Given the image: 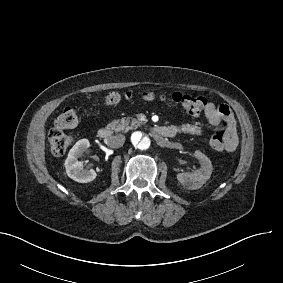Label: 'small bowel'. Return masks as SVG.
<instances>
[{
    "label": "small bowel",
    "instance_id": "1",
    "mask_svg": "<svg viewBox=\"0 0 283 283\" xmlns=\"http://www.w3.org/2000/svg\"><path fill=\"white\" fill-rule=\"evenodd\" d=\"M234 107L230 103L220 102L218 106L215 103H208L204 109V114L210 125L215 128H221V120L226 124H230L225 131V139L227 140L228 153H232L238 146V137L235 129ZM169 132V136L176 134L202 135L203 127L198 123H184L181 125L165 126Z\"/></svg>",
    "mask_w": 283,
    "mask_h": 283
}]
</instances>
